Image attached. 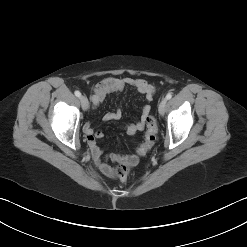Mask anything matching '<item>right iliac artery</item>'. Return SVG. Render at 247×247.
<instances>
[{
    "label": "right iliac artery",
    "mask_w": 247,
    "mask_h": 247,
    "mask_svg": "<svg viewBox=\"0 0 247 247\" xmlns=\"http://www.w3.org/2000/svg\"><path fill=\"white\" fill-rule=\"evenodd\" d=\"M75 96L80 97L81 93L79 91H75Z\"/></svg>",
    "instance_id": "obj_1"
}]
</instances>
